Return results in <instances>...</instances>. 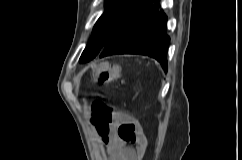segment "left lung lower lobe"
I'll use <instances>...</instances> for the list:
<instances>
[{"label": "left lung lower lobe", "instance_id": "obj_1", "mask_svg": "<svg viewBox=\"0 0 242 160\" xmlns=\"http://www.w3.org/2000/svg\"><path fill=\"white\" fill-rule=\"evenodd\" d=\"M167 16L160 0H156L133 23L112 38L99 53L100 58L112 54H142L158 60L167 71Z\"/></svg>", "mask_w": 242, "mask_h": 160}]
</instances>
